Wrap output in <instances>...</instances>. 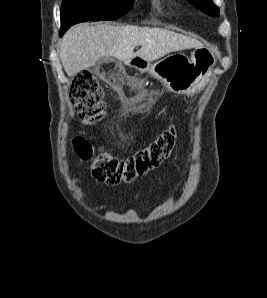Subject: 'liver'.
<instances>
[{"label":"liver","instance_id":"obj_1","mask_svg":"<svg viewBox=\"0 0 267 298\" xmlns=\"http://www.w3.org/2000/svg\"><path fill=\"white\" fill-rule=\"evenodd\" d=\"M136 46L141 48L135 53ZM198 47H203L200 41L163 28L81 23L63 36L60 59L71 77L102 58L115 57L129 62L139 57L151 62L170 52Z\"/></svg>","mask_w":267,"mask_h":298}]
</instances>
